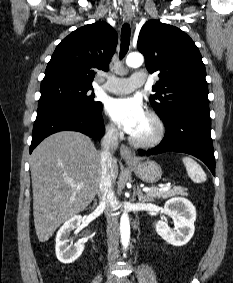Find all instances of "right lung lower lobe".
<instances>
[{"instance_id":"obj_1","label":"right lung lower lobe","mask_w":233,"mask_h":283,"mask_svg":"<svg viewBox=\"0 0 233 283\" xmlns=\"http://www.w3.org/2000/svg\"><path fill=\"white\" fill-rule=\"evenodd\" d=\"M101 112L102 107L96 111L55 104L39 107L30 153L44 138L59 131H78L94 139L101 138L104 135Z\"/></svg>"}]
</instances>
